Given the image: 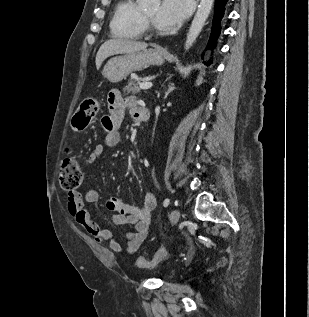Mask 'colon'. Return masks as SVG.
<instances>
[{
  "label": "colon",
  "mask_w": 309,
  "mask_h": 317,
  "mask_svg": "<svg viewBox=\"0 0 309 317\" xmlns=\"http://www.w3.org/2000/svg\"><path fill=\"white\" fill-rule=\"evenodd\" d=\"M99 112V102L93 97L83 100L73 116V127L82 131L85 130L92 119ZM59 182L62 188L69 192L76 191L83 182V172L76 158L67 157L63 160L59 170ZM141 266L151 265L149 259L139 258Z\"/></svg>",
  "instance_id": "colon-1"
}]
</instances>
